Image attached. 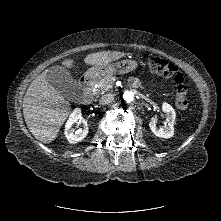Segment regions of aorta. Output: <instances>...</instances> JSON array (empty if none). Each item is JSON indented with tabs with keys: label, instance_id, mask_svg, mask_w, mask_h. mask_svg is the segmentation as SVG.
<instances>
[{
	"label": "aorta",
	"instance_id": "762f6f07",
	"mask_svg": "<svg viewBox=\"0 0 221 221\" xmlns=\"http://www.w3.org/2000/svg\"><path fill=\"white\" fill-rule=\"evenodd\" d=\"M133 97H134V94L130 91H126L123 95V98L126 102H131L133 101Z\"/></svg>",
	"mask_w": 221,
	"mask_h": 221
}]
</instances>
